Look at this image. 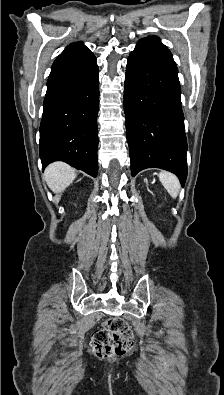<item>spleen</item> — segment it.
Segmentation results:
<instances>
[{"mask_svg": "<svg viewBox=\"0 0 224 395\" xmlns=\"http://www.w3.org/2000/svg\"><path fill=\"white\" fill-rule=\"evenodd\" d=\"M159 180L171 197L176 198L178 196L180 182L176 175L162 171L159 173Z\"/></svg>", "mask_w": 224, "mask_h": 395, "instance_id": "spleen-1", "label": "spleen"}]
</instances>
